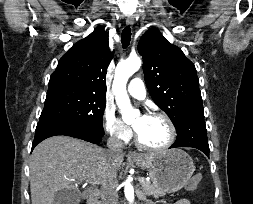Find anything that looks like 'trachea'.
Instances as JSON below:
<instances>
[{
  "instance_id": "3493384b",
  "label": "trachea",
  "mask_w": 253,
  "mask_h": 204,
  "mask_svg": "<svg viewBox=\"0 0 253 204\" xmlns=\"http://www.w3.org/2000/svg\"><path fill=\"white\" fill-rule=\"evenodd\" d=\"M131 41V29L129 26L125 27L121 34V42L123 48H127Z\"/></svg>"
}]
</instances>
